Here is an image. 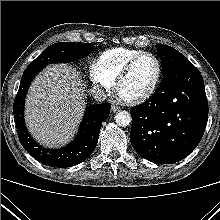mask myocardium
<instances>
[{"label":"myocardium","mask_w":220,"mask_h":220,"mask_svg":"<svg viewBox=\"0 0 220 220\" xmlns=\"http://www.w3.org/2000/svg\"><path fill=\"white\" fill-rule=\"evenodd\" d=\"M143 56H149L155 61L156 67H157L155 79H154L151 87L145 93H143L142 95L135 97V98L125 99V98L121 97L119 94L120 85L124 81V79L128 76V74L130 73L134 64ZM161 77H162V64H161L160 59L154 53H151L148 51H141L138 54L134 55L125 64V66L122 68V70L119 72L118 76L115 79V83H114L115 90H116L117 94L120 96V98L123 101H125L126 103L140 104V103L146 101L147 99H149L154 94V92L156 91V89L160 83Z\"/></svg>","instance_id":"myocardium-1"}]
</instances>
